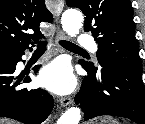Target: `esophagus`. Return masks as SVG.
I'll return each mask as SVG.
<instances>
[{"label": "esophagus", "instance_id": "esophagus-1", "mask_svg": "<svg viewBox=\"0 0 145 124\" xmlns=\"http://www.w3.org/2000/svg\"><path fill=\"white\" fill-rule=\"evenodd\" d=\"M63 9V3L61 1H56L52 7L51 10L53 12V15L55 19L57 20L58 16L61 14ZM67 36L65 33L58 27L57 33H56V40L61 41V40H66ZM60 103L62 106H68L72 104L73 100L71 97H62L60 100Z\"/></svg>", "mask_w": 145, "mask_h": 124}]
</instances>
